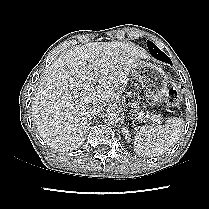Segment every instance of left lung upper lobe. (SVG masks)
Segmentation results:
<instances>
[{
    "instance_id": "5c2ea615",
    "label": "left lung upper lobe",
    "mask_w": 209,
    "mask_h": 209,
    "mask_svg": "<svg viewBox=\"0 0 209 209\" xmlns=\"http://www.w3.org/2000/svg\"><path fill=\"white\" fill-rule=\"evenodd\" d=\"M147 46H148V49H149L151 55L154 58H156L160 61L166 62L168 64H172L169 57L166 54H164L160 49H158L154 43H152L151 41H147Z\"/></svg>"
}]
</instances>
